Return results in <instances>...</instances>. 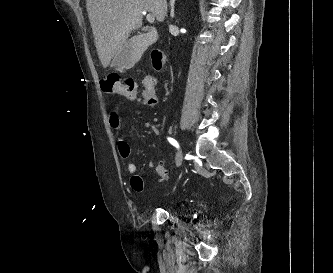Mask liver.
<instances>
[{
    "mask_svg": "<svg viewBox=\"0 0 333 273\" xmlns=\"http://www.w3.org/2000/svg\"><path fill=\"white\" fill-rule=\"evenodd\" d=\"M163 0H86L94 42L104 68L113 66L132 31L142 27V13L163 22Z\"/></svg>",
    "mask_w": 333,
    "mask_h": 273,
    "instance_id": "6515ba94",
    "label": "liver"
}]
</instances>
